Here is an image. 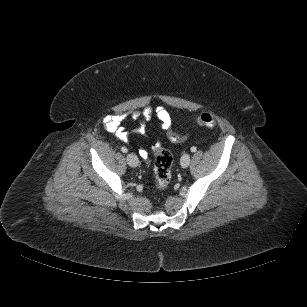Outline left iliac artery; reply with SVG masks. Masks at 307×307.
Segmentation results:
<instances>
[{"label":"left iliac artery","instance_id":"44dca946","mask_svg":"<svg viewBox=\"0 0 307 307\" xmlns=\"http://www.w3.org/2000/svg\"><path fill=\"white\" fill-rule=\"evenodd\" d=\"M191 152H196L197 148L195 146L191 147Z\"/></svg>","mask_w":307,"mask_h":307}]
</instances>
